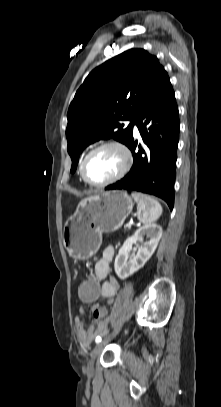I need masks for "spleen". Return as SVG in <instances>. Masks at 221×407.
<instances>
[{"label": "spleen", "instance_id": "1", "mask_svg": "<svg viewBox=\"0 0 221 407\" xmlns=\"http://www.w3.org/2000/svg\"><path fill=\"white\" fill-rule=\"evenodd\" d=\"M132 198L137 203V217L143 224H150L161 216L162 206L153 197L139 193L132 192Z\"/></svg>", "mask_w": 221, "mask_h": 407}]
</instances>
